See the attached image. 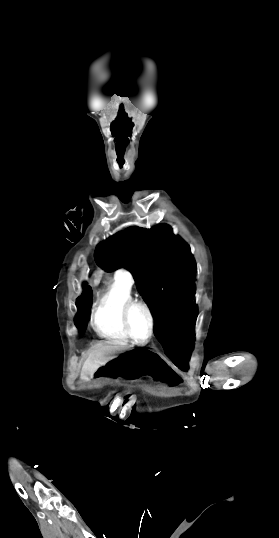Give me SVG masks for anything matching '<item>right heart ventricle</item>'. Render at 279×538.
Returning <instances> with one entry per match:
<instances>
[{"mask_svg":"<svg viewBox=\"0 0 279 538\" xmlns=\"http://www.w3.org/2000/svg\"><path fill=\"white\" fill-rule=\"evenodd\" d=\"M99 232L98 227H94L88 232L89 239L92 242L96 241ZM132 285L133 280L130 273L121 270V273H115L96 298L91 312V324L101 337L116 341H129L122 326L121 312L128 301L135 299Z\"/></svg>","mask_w":279,"mask_h":538,"instance_id":"e07e8e85","label":"right heart ventricle"}]
</instances>
